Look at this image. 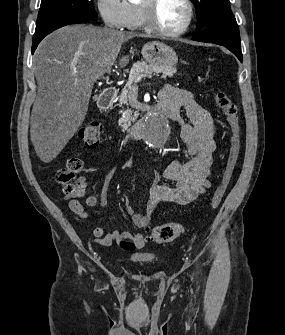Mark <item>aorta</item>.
Wrapping results in <instances>:
<instances>
[{
    "label": "aorta",
    "mask_w": 285,
    "mask_h": 335,
    "mask_svg": "<svg viewBox=\"0 0 285 335\" xmlns=\"http://www.w3.org/2000/svg\"><path fill=\"white\" fill-rule=\"evenodd\" d=\"M138 134L149 137L146 147H167L166 137L173 134L171 119H162V112H149V119H146L144 127H138Z\"/></svg>",
    "instance_id": "aorta-1"
}]
</instances>
